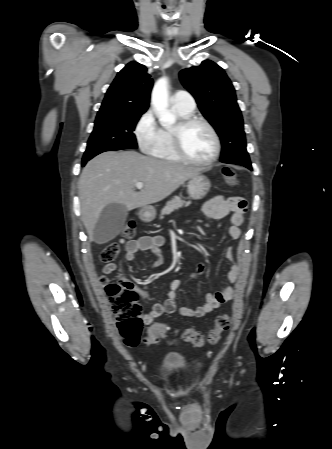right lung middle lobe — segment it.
Returning a JSON list of instances; mask_svg holds the SVG:
<instances>
[{
	"mask_svg": "<svg viewBox=\"0 0 332 449\" xmlns=\"http://www.w3.org/2000/svg\"><path fill=\"white\" fill-rule=\"evenodd\" d=\"M142 114L118 113L97 116L83 160H90L105 151L136 149L137 142L133 131Z\"/></svg>",
	"mask_w": 332,
	"mask_h": 449,
	"instance_id": "right-lung-middle-lobe-1",
	"label": "right lung middle lobe"
}]
</instances>
